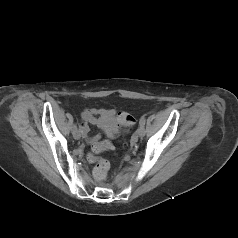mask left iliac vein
Masks as SVG:
<instances>
[{"label": "left iliac vein", "mask_w": 238, "mask_h": 238, "mask_svg": "<svg viewBox=\"0 0 238 238\" xmlns=\"http://www.w3.org/2000/svg\"><path fill=\"white\" fill-rule=\"evenodd\" d=\"M137 134L139 137H143L145 135V129L144 126H140L137 130Z\"/></svg>", "instance_id": "left-iliac-vein-1"}]
</instances>
